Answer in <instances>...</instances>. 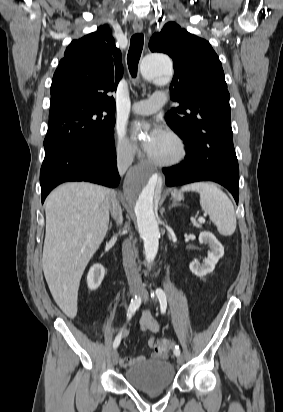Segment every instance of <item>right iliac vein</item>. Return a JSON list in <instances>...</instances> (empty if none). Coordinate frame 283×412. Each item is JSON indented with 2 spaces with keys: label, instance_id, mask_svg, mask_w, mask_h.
<instances>
[{
  "label": "right iliac vein",
  "instance_id": "obj_1",
  "mask_svg": "<svg viewBox=\"0 0 283 412\" xmlns=\"http://www.w3.org/2000/svg\"><path fill=\"white\" fill-rule=\"evenodd\" d=\"M139 293H140L139 289H136V288L130 289V295L132 297L137 296ZM118 358H119V355H118L117 350H113L112 353H111V359H112V362H113L114 365H116L118 363Z\"/></svg>",
  "mask_w": 283,
  "mask_h": 412
}]
</instances>
